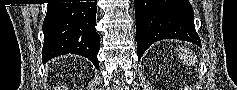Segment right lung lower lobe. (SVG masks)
<instances>
[{
  "label": "right lung lower lobe",
  "instance_id": "1",
  "mask_svg": "<svg viewBox=\"0 0 237 90\" xmlns=\"http://www.w3.org/2000/svg\"><path fill=\"white\" fill-rule=\"evenodd\" d=\"M96 13V2L48 4L43 22V63L71 53L90 59L98 69L100 36L95 31Z\"/></svg>",
  "mask_w": 237,
  "mask_h": 90
}]
</instances>
